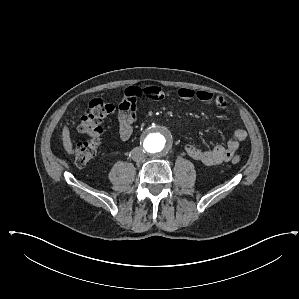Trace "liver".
<instances>
[{"instance_id": "liver-1", "label": "liver", "mask_w": 299, "mask_h": 299, "mask_svg": "<svg viewBox=\"0 0 299 299\" xmlns=\"http://www.w3.org/2000/svg\"><path fill=\"white\" fill-rule=\"evenodd\" d=\"M62 141H63V146L64 149L66 150V152L68 154H72L73 153V145L71 142V138H70V132L67 126L63 127V131H62Z\"/></svg>"}]
</instances>
